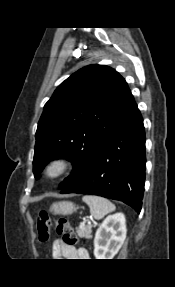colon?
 Returning a JSON list of instances; mask_svg holds the SVG:
<instances>
[{
	"instance_id": "1",
	"label": "colon",
	"mask_w": 175,
	"mask_h": 287,
	"mask_svg": "<svg viewBox=\"0 0 175 287\" xmlns=\"http://www.w3.org/2000/svg\"><path fill=\"white\" fill-rule=\"evenodd\" d=\"M53 227L65 244L74 246L78 243V238L66 219L53 220L48 212L40 211L37 216V233L41 242L50 240Z\"/></svg>"
}]
</instances>
